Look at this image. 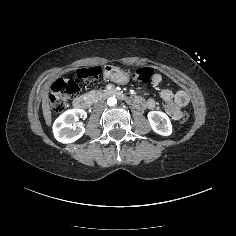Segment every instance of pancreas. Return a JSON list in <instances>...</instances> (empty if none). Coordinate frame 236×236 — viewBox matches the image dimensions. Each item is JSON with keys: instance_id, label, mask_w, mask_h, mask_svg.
Segmentation results:
<instances>
[{"instance_id": "cf45deb5", "label": "pancreas", "mask_w": 236, "mask_h": 236, "mask_svg": "<svg viewBox=\"0 0 236 236\" xmlns=\"http://www.w3.org/2000/svg\"><path fill=\"white\" fill-rule=\"evenodd\" d=\"M87 98L91 101V102H96L98 100H102L104 99V94L102 90H92L87 94Z\"/></svg>"}]
</instances>
